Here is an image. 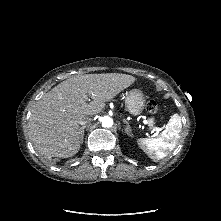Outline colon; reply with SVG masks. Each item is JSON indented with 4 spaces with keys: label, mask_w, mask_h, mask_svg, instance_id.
Wrapping results in <instances>:
<instances>
[{
    "label": "colon",
    "mask_w": 221,
    "mask_h": 221,
    "mask_svg": "<svg viewBox=\"0 0 221 221\" xmlns=\"http://www.w3.org/2000/svg\"><path fill=\"white\" fill-rule=\"evenodd\" d=\"M146 109L148 112H150L151 114H156L158 111V106L156 104V102L154 100H149L146 103Z\"/></svg>",
    "instance_id": "obj_1"
}]
</instances>
